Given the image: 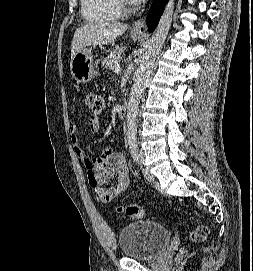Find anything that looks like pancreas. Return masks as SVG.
I'll return each mask as SVG.
<instances>
[{"label": "pancreas", "mask_w": 253, "mask_h": 271, "mask_svg": "<svg viewBox=\"0 0 253 271\" xmlns=\"http://www.w3.org/2000/svg\"><path fill=\"white\" fill-rule=\"evenodd\" d=\"M121 53L120 49L112 51L106 58L102 60V65L105 68L114 69V66L119 65L121 62Z\"/></svg>", "instance_id": "obj_1"}]
</instances>
